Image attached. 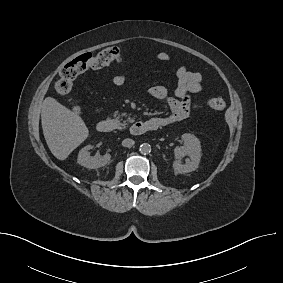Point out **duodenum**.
<instances>
[{
    "instance_id": "duodenum-1",
    "label": "duodenum",
    "mask_w": 283,
    "mask_h": 283,
    "mask_svg": "<svg viewBox=\"0 0 283 283\" xmlns=\"http://www.w3.org/2000/svg\"><path fill=\"white\" fill-rule=\"evenodd\" d=\"M159 127V122L152 118L149 120L135 122L130 128V132L133 135H142L151 131H155ZM97 130L100 133H110L114 130V123L109 119L100 120L97 123Z\"/></svg>"
}]
</instances>
